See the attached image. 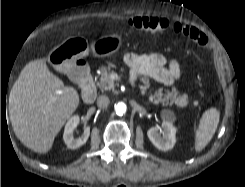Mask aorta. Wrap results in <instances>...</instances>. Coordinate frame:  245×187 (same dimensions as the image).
Here are the masks:
<instances>
[{
	"instance_id": "aorta-1",
	"label": "aorta",
	"mask_w": 245,
	"mask_h": 187,
	"mask_svg": "<svg viewBox=\"0 0 245 187\" xmlns=\"http://www.w3.org/2000/svg\"><path fill=\"white\" fill-rule=\"evenodd\" d=\"M126 104L123 102H119L118 104L115 105V111L116 114L119 116H123L126 113Z\"/></svg>"
}]
</instances>
